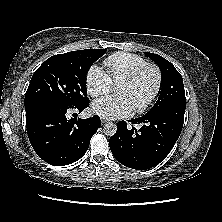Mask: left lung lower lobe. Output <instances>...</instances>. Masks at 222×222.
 <instances>
[{
  "instance_id": "1",
  "label": "left lung lower lobe",
  "mask_w": 222,
  "mask_h": 222,
  "mask_svg": "<svg viewBox=\"0 0 222 222\" xmlns=\"http://www.w3.org/2000/svg\"><path fill=\"white\" fill-rule=\"evenodd\" d=\"M186 105L169 104L150 111L142 117L129 120L143 124L137 131L125 121L117 124L109 146L114 157L123 165L146 170L159 164L177 141L184 122Z\"/></svg>"
}]
</instances>
